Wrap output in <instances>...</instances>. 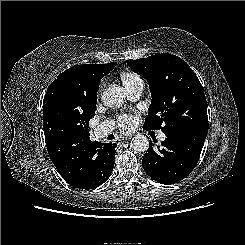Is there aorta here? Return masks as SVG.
I'll return each mask as SVG.
<instances>
[{
    "label": "aorta",
    "mask_w": 245,
    "mask_h": 245,
    "mask_svg": "<svg viewBox=\"0 0 245 245\" xmlns=\"http://www.w3.org/2000/svg\"><path fill=\"white\" fill-rule=\"evenodd\" d=\"M125 99V91L120 86L107 88L101 97L103 104L107 107H119ZM149 147V141L144 135H136L132 138L130 148L134 152H145Z\"/></svg>",
    "instance_id": "obj_1"
}]
</instances>
